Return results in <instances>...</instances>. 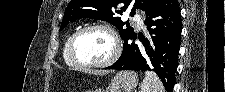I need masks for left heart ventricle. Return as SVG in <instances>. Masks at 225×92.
Listing matches in <instances>:
<instances>
[{"instance_id": "obj_1", "label": "left heart ventricle", "mask_w": 225, "mask_h": 92, "mask_svg": "<svg viewBox=\"0 0 225 92\" xmlns=\"http://www.w3.org/2000/svg\"><path fill=\"white\" fill-rule=\"evenodd\" d=\"M75 52L80 60L88 63H100L113 53L110 36L102 30L85 32L77 41Z\"/></svg>"}]
</instances>
